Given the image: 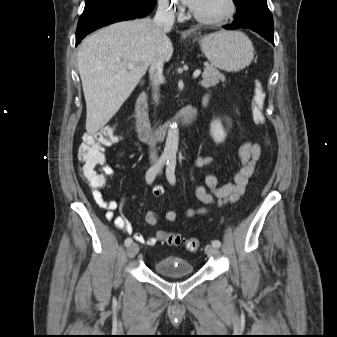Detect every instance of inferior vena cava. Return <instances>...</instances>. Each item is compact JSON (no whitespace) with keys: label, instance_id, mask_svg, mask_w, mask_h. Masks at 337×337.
<instances>
[{"label":"inferior vena cava","instance_id":"1","mask_svg":"<svg viewBox=\"0 0 337 337\" xmlns=\"http://www.w3.org/2000/svg\"><path fill=\"white\" fill-rule=\"evenodd\" d=\"M175 21V11L169 7L167 0H160L157 12L153 19L154 24L160 28L171 29ZM149 77L154 91H158L163 82V62L155 61L149 70ZM158 158L155 143H150V159L156 161Z\"/></svg>","mask_w":337,"mask_h":337}]
</instances>
